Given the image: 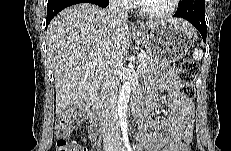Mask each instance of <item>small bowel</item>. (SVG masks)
Here are the masks:
<instances>
[{
    "instance_id": "c3829d8e",
    "label": "small bowel",
    "mask_w": 231,
    "mask_h": 151,
    "mask_svg": "<svg viewBox=\"0 0 231 151\" xmlns=\"http://www.w3.org/2000/svg\"><path fill=\"white\" fill-rule=\"evenodd\" d=\"M178 76L174 69H169L150 85L145 93L147 108L158 109L160 106L151 101L157 90L166 93L165 106L167 116L162 120L149 118L143 113L139 122V151H179L183 144L193 137L194 107L191 99L178 92ZM143 101V98L140 97ZM167 133L166 136L163 133ZM90 141H95L96 134L91 131Z\"/></svg>"
}]
</instances>
